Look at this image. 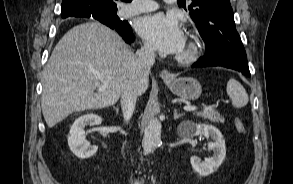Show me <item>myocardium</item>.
Returning <instances> with one entry per match:
<instances>
[{
  "label": "myocardium",
  "instance_id": "obj_1",
  "mask_svg": "<svg viewBox=\"0 0 293 184\" xmlns=\"http://www.w3.org/2000/svg\"><path fill=\"white\" fill-rule=\"evenodd\" d=\"M189 48L185 53H178L175 59L180 63H191L198 59L203 51V41L195 31L187 34Z\"/></svg>",
  "mask_w": 293,
  "mask_h": 184
}]
</instances>
